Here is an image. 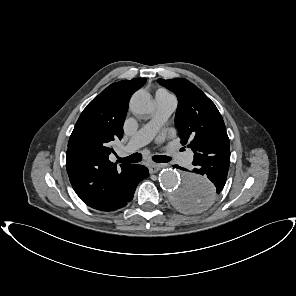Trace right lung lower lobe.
I'll return each mask as SVG.
<instances>
[{
    "label": "right lung lower lobe",
    "instance_id": "98d812e1",
    "mask_svg": "<svg viewBox=\"0 0 296 296\" xmlns=\"http://www.w3.org/2000/svg\"><path fill=\"white\" fill-rule=\"evenodd\" d=\"M148 176L149 172L145 166L132 164L126 175L124 195L113 210L126 206L132 200L137 184Z\"/></svg>",
    "mask_w": 296,
    "mask_h": 296
}]
</instances>
